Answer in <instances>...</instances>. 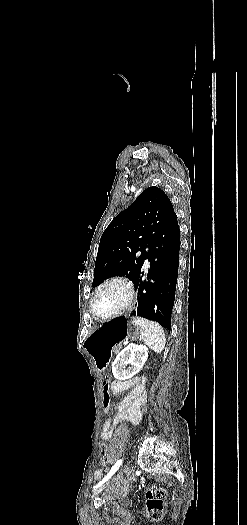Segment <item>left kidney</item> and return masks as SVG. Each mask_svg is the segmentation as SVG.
<instances>
[{"mask_svg": "<svg viewBox=\"0 0 247 525\" xmlns=\"http://www.w3.org/2000/svg\"><path fill=\"white\" fill-rule=\"evenodd\" d=\"M148 357V349L145 345H127L119 355H117L113 365L112 371L115 377H121L125 375L127 371H124L122 365H131L129 367L128 377H134L139 371H141L144 363H146Z\"/></svg>", "mask_w": 247, "mask_h": 525, "instance_id": "5707ae66", "label": "left kidney"}]
</instances>
